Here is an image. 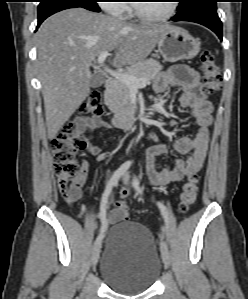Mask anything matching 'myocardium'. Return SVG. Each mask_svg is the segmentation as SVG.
Returning <instances> with one entry per match:
<instances>
[{
  "mask_svg": "<svg viewBox=\"0 0 248 299\" xmlns=\"http://www.w3.org/2000/svg\"><path fill=\"white\" fill-rule=\"evenodd\" d=\"M169 1V8L167 12L161 16H147L143 14L139 9H138V4H133L132 5V13L133 15L140 20L141 22L144 23H160L167 21L171 19L177 12L178 9V3L175 0H168Z\"/></svg>",
  "mask_w": 248,
  "mask_h": 299,
  "instance_id": "obj_1",
  "label": "myocardium"
}]
</instances>
